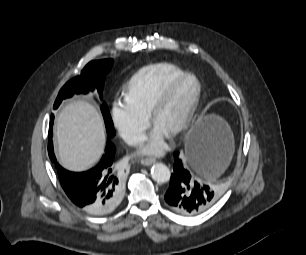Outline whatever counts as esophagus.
I'll use <instances>...</instances> for the list:
<instances>
[{
  "instance_id": "esophagus-1",
  "label": "esophagus",
  "mask_w": 306,
  "mask_h": 255,
  "mask_svg": "<svg viewBox=\"0 0 306 255\" xmlns=\"http://www.w3.org/2000/svg\"><path fill=\"white\" fill-rule=\"evenodd\" d=\"M155 159L154 158H144L141 160V164L144 165V166H150L152 164L155 163Z\"/></svg>"
}]
</instances>
